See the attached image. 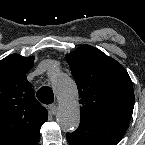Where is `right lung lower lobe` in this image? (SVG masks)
<instances>
[{
  "mask_svg": "<svg viewBox=\"0 0 145 145\" xmlns=\"http://www.w3.org/2000/svg\"><path fill=\"white\" fill-rule=\"evenodd\" d=\"M39 137L34 138L33 140H31L30 142H28L26 145H36L37 142L39 141Z\"/></svg>",
  "mask_w": 145,
  "mask_h": 145,
  "instance_id": "obj_1",
  "label": "right lung lower lobe"
}]
</instances>
